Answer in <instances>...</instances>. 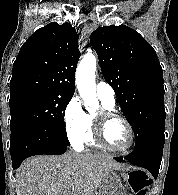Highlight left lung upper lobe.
<instances>
[{
  "label": "left lung upper lobe",
  "mask_w": 178,
  "mask_h": 195,
  "mask_svg": "<svg viewBox=\"0 0 178 195\" xmlns=\"http://www.w3.org/2000/svg\"><path fill=\"white\" fill-rule=\"evenodd\" d=\"M105 80L135 135V147L165 140L163 72L151 45L135 30L105 26L90 36Z\"/></svg>",
  "instance_id": "1"
}]
</instances>
